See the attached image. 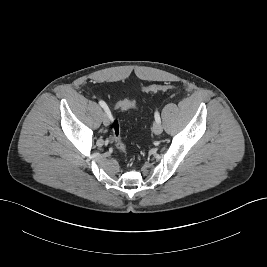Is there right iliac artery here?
Returning <instances> with one entry per match:
<instances>
[{
  "mask_svg": "<svg viewBox=\"0 0 267 267\" xmlns=\"http://www.w3.org/2000/svg\"><path fill=\"white\" fill-rule=\"evenodd\" d=\"M99 104L105 110V112L107 113L108 117L111 119V117H112L111 116V112H110L107 104L104 101H102V100L99 101Z\"/></svg>",
  "mask_w": 267,
  "mask_h": 267,
  "instance_id": "82829eb1",
  "label": "right iliac artery"
}]
</instances>
